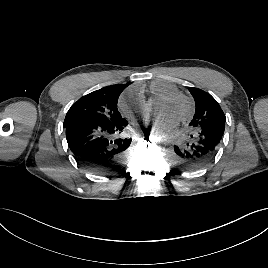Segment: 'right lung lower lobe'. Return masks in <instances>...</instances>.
Returning <instances> with one entry per match:
<instances>
[{
  "mask_svg": "<svg viewBox=\"0 0 268 268\" xmlns=\"http://www.w3.org/2000/svg\"><path fill=\"white\" fill-rule=\"evenodd\" d=\"M126 119L102 124L78 120L65 126L68 146L76 161L97 175L119 170L132 139L124 136Z\"/></svg>",
  "mask_w": 268,
  "mask_h": 268,
  "instance_id": "98d812e1",
  "label": "right lung lower lobe"
}]
</instances>
